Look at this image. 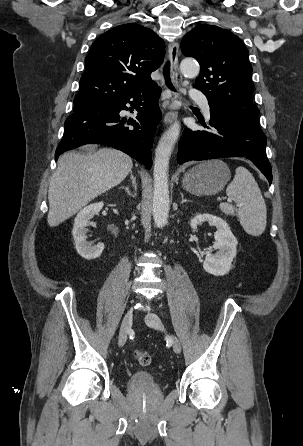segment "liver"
I'll return each instance as SVG.
<instances>
[{
    "label": "liver",
    "instance_id": "6515ba94",
    "mask_svg": "<svg viewBox=\"0 0 303 446\" xmlns=\"http://www.w3.org/2000/svg\"><path fill=\"white\" fill-rule=\"evenodd\" d=\"M132 159L111 148L93 154L68 152L59 160L48 190V225L58 226L97 196L121 183Z\"/></svg>",
    "mask_w": 303,
    "mask_h": 446
}]
</instances>
